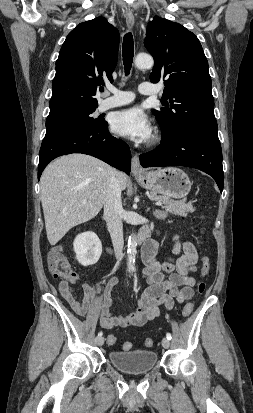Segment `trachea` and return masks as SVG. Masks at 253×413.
Here are the masks:
<instances>
[{
    "instance_id": "3493384b",
    "label": "trachea",
    "mask_w": 253,
    "mask_h": 413,
    "mask_svg": "<svg viewBox=\"0 0 253 413\" xmlns=\"http://www.w3.org/2000/svg\"><path fill=\"white\" fill-rule=\"evenodd\" d=\"M122 54H123V64H124L125 74L129 75L131 66H132L133 56H134V42H133L132 33L130 32L124 35L123 45H122Z\"/></svg>"
}]
</instances>
